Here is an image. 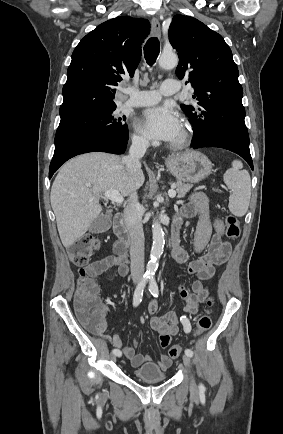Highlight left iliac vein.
Here are the masks:
<instances>
[{"label": "left iliac vein", "mask_w": 283, "mask_h": 434, "mask_svg": "<svg viewBox=\"0 0 283 434\" xmlns=\"http://www.w3.org/2000/svg\"><path fill=\"white\" fill-rule=\"evenodd\" d=\"M183 362H184V365L186 366V368L188 369V371L190 372V389L193 393H196L197 392V385H196L195 380L191 374V361H190L189 356L184 355L183 356Z\"/></svg>", "instance_id": "left-iliac-vein-1"}]
</instances>
